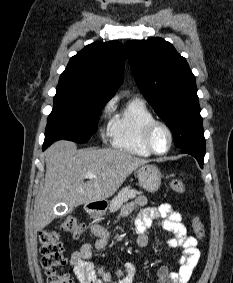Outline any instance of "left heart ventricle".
<instances>
[{"label": "left heart ventricle", "instance_id": "left-heart-ventricle-1", "mask_svg": "<svg viewBox=\"0 0 233 283\" xmlns=\"http://www.w3.org/2000/svg\"><path fill=\"white\" fill-rule=\"evenodd\" d=\"M151 142L156 150H166L169 144V137L167 132L162 127L155 128L152 133Z\"/></svg>", "mask_w": 233, "mask_h": 283}]
</instances>
